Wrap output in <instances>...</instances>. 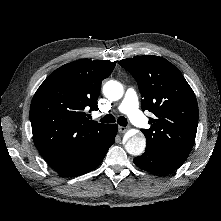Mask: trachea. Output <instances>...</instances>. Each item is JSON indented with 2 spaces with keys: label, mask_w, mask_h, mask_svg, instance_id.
I'll return each instance as SVG.
<instances>
[{
  "label": "trachea",
  "mask_w": 221,
  "mask_h": 221,
  "mask_svg": "<svg viewBox=\"0 0 221 221\" xmlns=\"http://www.w3.org/2000/svg\"><path fill=\"white\" fill-rule=\"evenodd\" d=\"M100 122L102 123H114L115 122V117L111 114L105 115L103 118L100 119ZM117 123L121 126H127V119L123 116L119 117L117 119Z\"/></svg>",
  "instance_id": "trachea-1"
}]
</instances>
